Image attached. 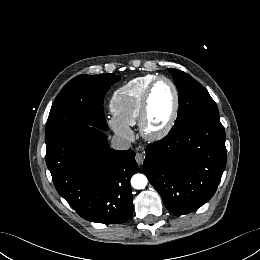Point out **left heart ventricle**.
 Returning a JSON list of instances; mask_svg holds the SVG:
<instances>
[{
    "label": "left heart ventricle",
    "mask_w": 260,
    "mask_h": 260,
    "mask_svg": "<svg viewBox=\"0 0 260 260\" xmlns=\"http://www.w3.org/2000/svg\"><path fill=\"white\" fill-rule=\"evenodd\" d=\"M174 107L172 87L161 81L155 87L150 100L148 128L151 131L162 129L169 121Z\"/></svg>",
    "instance_id": "1"
}]
</instances>
